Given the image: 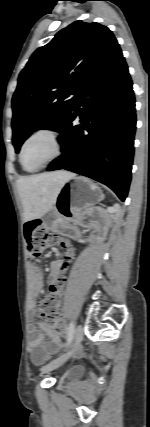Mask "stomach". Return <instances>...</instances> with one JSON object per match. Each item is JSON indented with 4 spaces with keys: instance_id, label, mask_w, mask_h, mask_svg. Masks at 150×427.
Listing matches in <instances>:
<instances>
[{
    "instance_id": "0dacf381",
    "label": "stomach",
    "mask_w": 150,
    "mask_h": 427,
    "mask_svg": "<svg viewBox=\"0 0 150 427\" xmlns=\"http://www.w3.org/2000/svg\"><path fill=\"white\" fill-rule=\"evenodd\" d=\"M101 190L83 178L66 182L57 196L53 212L66 221H75L81 213L101 200Z\"/></svg>"
}]
</instances>
